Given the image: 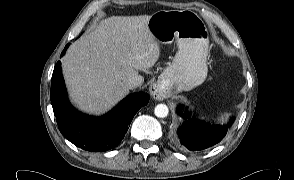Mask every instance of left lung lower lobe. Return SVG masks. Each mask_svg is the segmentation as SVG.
I'll use <instances>...</instances> for the list:
<instances>
[{
  "label": "left lung lower lobe",
  "instance_id": "0a47b994",
  "mask_svg": "<svg viewBox=\"0 0 294 180\" xmlns=\"http://www.w3.org/2000/svg\"><path fill=\"white\" fill-rule=\"evenodd\" d=\"M178 113L185 119L178 130V141L183 148L191 151L206 149L220 142L227 133L228 126H212L191 121L189 113H182V108H178Z\"/></svg>",
  "mask_w": 294,
  "mask_h": 180
}]
</instances>
